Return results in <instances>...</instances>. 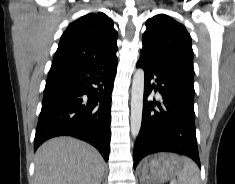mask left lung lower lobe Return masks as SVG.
<instances>
[{"mask_svg":"<svg viewBox=\"0 0 235 184\" xmlns=\"http://www.w3.org/2000/svg\"><path fill=\"white\" fill-rule=\"evenodd\" d=\"M137 67L145 72L143 115L134 145V168L146 155L174 152L192 158L201 168L195 132L194 93L171 71L155 65L141 53ZM155 79L157 85H150ZM161 102L147 101L152 89ZM155 105L158 109H155Z\"/></svg>","mask_w":235,"mask_h":184,"instance_id":"left-lung-lower-lobe-1","label":"left lung lower lobe"}]
</instances>
